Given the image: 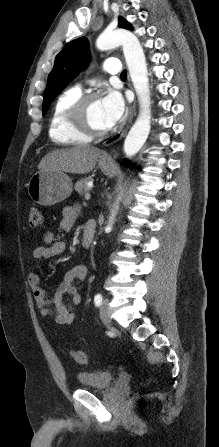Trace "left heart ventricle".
Segmentation results:
<instances>
[{"label":"left heart ventricle","mask_w":219,"mask_h":447,"mask_svg":"<svg viewBox=\"0 0 219 447\" xmlns=\"http://www.w3.org/2000/svg\"><path fill=\"white\" fill-rule=\"evenodd\" d=\"M90 121L91 123L99 129H106L108 128L105 119H104V113L101 105V100L95 101L89 111Z\"/></svg>","instance_id":"b2bd125f"}]
</instances>
